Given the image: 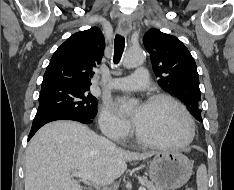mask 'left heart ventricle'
<instances>
[{
    "label": "left heart ventricle",
    "mask_w": 234,
    "mask_h": 190,
    "mask_svg": "<svg viewBox=\"0 0 234 190\" xmlns=\"http://www.w3.org/2000/svg\"><path fill=\"white\" fill-rule=\"evenodd\" d=\"M135 123L144 136L156 141L179 142L188 134L184 115L167 101L145 104L138 108Z\"/></svg>",
    "instance_id": "b2bd125f"
}]
</instances>
